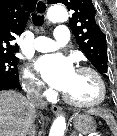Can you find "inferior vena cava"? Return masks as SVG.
Here are the masks:
<instances>
[{
	"label": "inferior vena cava",
	"mask_w": 117,
	"mask_h": 136,
	"mask_svg": "<svg viewBox=\"0 0 117 136\" xmlns=\"http://www.w3.org/2000/svg\"><path fill=\"white\" fill-rule=\"evenodd\" d=\"M28 101L32 109V113L29 114V125L27 130V136H38V121H39V109L47 108V101L44 99L42 92L35 90L28 95Z\"/></svg>",
	"instance_id": "inferior-vena-cava-1"
}]
</instances>
